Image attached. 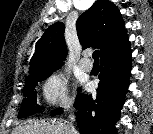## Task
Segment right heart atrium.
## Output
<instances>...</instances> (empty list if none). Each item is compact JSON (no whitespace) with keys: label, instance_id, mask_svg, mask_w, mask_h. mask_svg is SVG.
I'll use <instances>...</instances> for the list:
<instances>
[{"label":"right heart atrium","instance_id":"right-heart-atrium-1","mask_svg":"<svg viewBox=\"0 0 153 134\" xmlns=\"http://www.w3.org/2000/svg\"><path fill=\"white\" fill-rule=\"evenodd\" d=\"M42 95L49 104L67 107L71 103L67 77L60 72H53L42 84Z\"/></svg>","mask_w":153,"mask_h":134}]
</instances>
